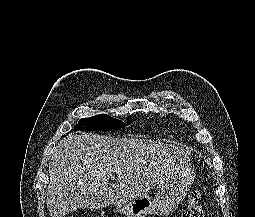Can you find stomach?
I'll return each instance as SVG.
<instances>
[{
	"mask_svg": "<svg viewBox=\"0 0 255 217\" xmlns=\"http://www.w3.org/2000/svg\"><path fill=\"white\" fill-rule=\"evenodd\" d=\"M194 177V170L184 166L160 183L153 199L145 195L132 201L117 203L116 212L125 217H146L153 213L167 216L183 201Z\"/></svg>",
	"mask_w": 255,
	"mask_h": 217,
	"instance_id": "stomach-1",
	"label": "stomach"
}]
</instances>
